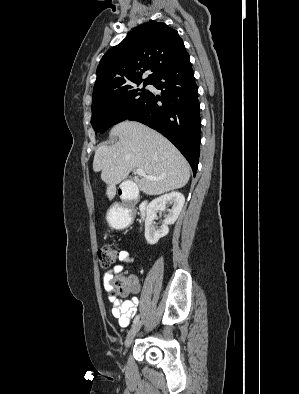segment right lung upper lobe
<instances>
[{
	"instance_id": "cb5924a9",
	"label": "right lung upper lobe",
	"mask_w": 299,
	"mask_h": 394,
	"mask_svg": "<svg viewBox=\"0 0 299 394\" xmlns=\"http://www.w3.org/2000/svg\"><path fill=\"white\" fill-rule=\"evenodd\" d=\"M186 54L176 30L163 22L142 24L102 57L93 94L142 82V75L148 69L152 74L144 82H152Z\"/></svg>"
}]
</instances>
